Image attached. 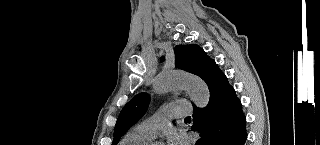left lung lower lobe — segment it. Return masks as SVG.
I'll return each instance as SVG.
<instances>
[{"instance_id": "1", "label": "left lung lower lobe", "mask_w": 320, "mask_h": 145, "mask_svg": "<svg viewBox=\"0 0 320 145\" xmlns=\"http://www.w3.org/2000/svg\"><path fill=\"white\" fill-rule=\"evenodd\" d=\"M200 77L208 85L210 100L205 108L194 106L192 130L201 136L195 145H244L246 118L227 77L214 60Z\"/></svg>"}]
</instances>
